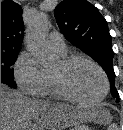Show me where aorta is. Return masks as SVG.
Returning <instances> with one entry per match:
<instances>
[{"instance_id":"762f6f07","label":"aorta","mask_w":123,"mask_h":130,"mask_svg":"<svg viewBox=\"0 0 123 130\" xmlns=\"http://www.w3.org/2000/svg\"><path fill=\"white\" fill-rule=\"evenodd\" d=\"M48 27L49 20L47 14L40 12L35 15L29 24L25 36L27 49L44 67L52 65L54 60L46 43Z\"/></svg>"}]
</instances>
